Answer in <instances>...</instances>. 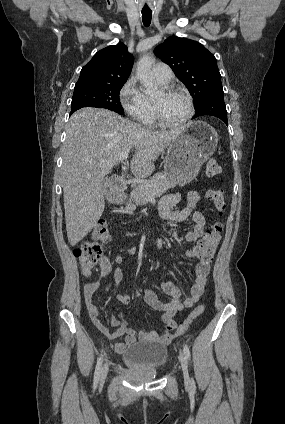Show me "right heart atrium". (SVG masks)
Wrapping results in <instances>:
<instances>
[{
  "label": "right heart atrium",
  "instance_id": "right-heart-atrium-1",
  "mask_svg": "<svg viewBox=\"0 0 285 424\" xmlns=\"http://www.w3.org/2000/svg\"><path fill=\"white\" fill-rule=\"evenodd\" d=\"M119 100L126 114L133 120L144 122L147 116V100L134 77H130L119 91Z\"/></svg>",
  "mask_w": 285,
  "mask_h": 424
}]
</instances>
